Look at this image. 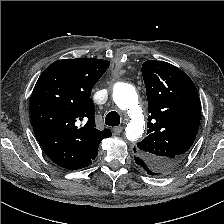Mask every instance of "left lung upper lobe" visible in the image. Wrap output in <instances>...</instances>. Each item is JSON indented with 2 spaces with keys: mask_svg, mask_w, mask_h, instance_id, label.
<instances>
[{
  "mask_svg": "<svg viewBox=\"0 0 224 224\" xmlns=\"http://www.w3.org/2000/svg\"><path fill=\"white\" fill-rule=\"evenodd\" d=\"M142 75L150 115L147 136L134 152L153 175L168 173L183 161L195 141L201 119L200 98L189 76L167 62L145 61Z\"/></svg>",
  "mask_w": 224,
  "mask_h": 224,
  "instance_id": "left-lung-upper-lobe-1",
  "label": "left lung upper lobe"
}]
</instances>
